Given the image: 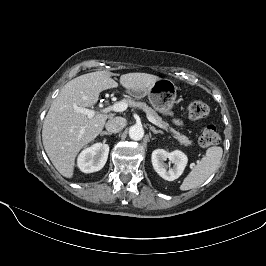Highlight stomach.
Wrapping results in <instances>:
<instances>
[{
	"label": "stomach",
	"mask_w": 266,
	"mask_h": 266,
	"mask_svg": "<svg viewBox=\"0 0 266 266\" xmlns=\"http://www.w3.org/2000/svg\"><path fill=\"white\" fill-rule=\"evenodd\" d=\"M128 92L136 98H142L147 95L150 104L156 111L166 112L172 109L175 103L177 87L173 81L161 78L147 89L140 91L128 90Z\"/></svg>",
	"instance_id": "0dacf381"
}]
</instances>
